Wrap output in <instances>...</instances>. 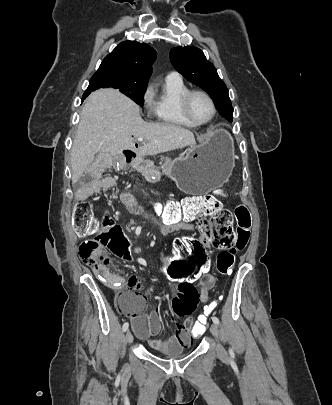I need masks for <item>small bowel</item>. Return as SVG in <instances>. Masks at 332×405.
I'll list each match as a JSON object with an SVG mask.
<instances>
[{
    "instance_id": "c3829d8e",
    "label": "small bowel",
    "mask_w": 332,
    "mask_h": 405,
    "mask_svg": "<svg viewBox=\"0 0 332 405\" xmlns=\"http://www.w3.org/2000/svg\"><path fill=\"white\" fill-rule=\"evenodd\" d=\"M134 167L141 172H145L148 169H153L154 163L143 156H138L134 160ZM102 180V172H82L81 177L77 179V184L79 186H99ZM106 181L108 184H111L112 178H106ZM121 201L132 214L143 216L147 221H154L152 213L142 206L138 197L125 192L121 195ZM197 217L196 215H189L188 220L184 222L183 229L197 233L196 227L192 224V221ZM135 252L137 253L138 251ZM174 252V256H177V251L175 250ZM135 261L140 265H146V260L142 257L136 256ZM99 274L105 278L103 273L99 272ZM118 279L122 288H126L127 293L131 296L130 300L119 298L118 309L121 313L131 318L133 331L139 338L146 340L152 349L162 350L163 353H180V351H183V348L190 345L189 335L194 322L192 318H185L183 325L177 326L174 335L164 340L154 338L161 330V321L154 311L144 313L145 297L136 293V291L142 288L141 281L136 276L128 274H120L118 275ZM214 285L215 277L209 272L206 275L205 281L194 282L190 287H182L179 283V292L173 300L172 310L183 316L196 311L200 302H207L209 291Z\"/></svg>"
}]
</instances>
